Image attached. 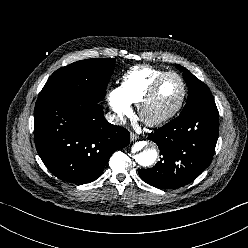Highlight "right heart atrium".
<instances>
[{"label": "right heart atrium", "mask_w": 248, "mask_h": 248, "mask_svg": "<svg viewBox=\"0 0 248 248\" xmlns=\"http://www.w3.org/2000/svg\"><path fill=\"white\" fill-rule=\"evenodd\" d=\"M108 100L118 119L123 120L132 114L131 103L123 94L121 87L113 88L108 94Z\"/></svg>", "instance_id": "1"}]
</instances>
